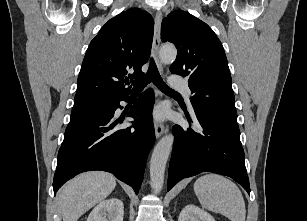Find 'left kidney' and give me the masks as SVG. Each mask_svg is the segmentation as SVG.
I'll return each mask as SVG.
<instances>
[{
	"label": "left kidney",
	"mask_w": 307,
	"mask_h": 221,
	"mask_svg": "<svg viewBox=\"0 0 307 221\" xmlns=\"http://www.w3.org/2000/svg\"><path fill=\"white\" fill-rule=\"evenodd\" d=\"M178 221H215V219L208 212L190 204L183 208Z\"/></svg>",
	"instance_id": "left-kidney-1"
}]
</instances>
